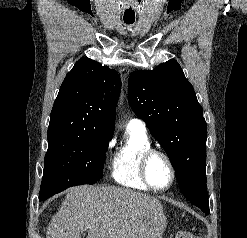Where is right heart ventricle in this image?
Wrapping results in <instances>:
<instances>
[{"instance_id":"obj_1","label":"right heart ventricle","mask_w":247,"mask_h":238,"mask_svg":"<svg viewBox=\"0 0 247 238\" xmlns=\"http://www.w3.org/2000/svg\"><path fill=\"white\" fill-rule=\"evenodd\" d=\"M151 142L145 130L128 125L121 145L111 158L112 178L121 186L148 190L140 174V161Z\"/></svg>"}]
</instances>
